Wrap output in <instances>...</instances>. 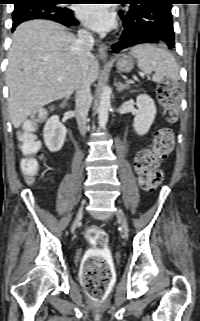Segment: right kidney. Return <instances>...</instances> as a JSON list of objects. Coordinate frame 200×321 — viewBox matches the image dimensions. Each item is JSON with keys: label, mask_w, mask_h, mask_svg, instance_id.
Here are the masks:
<instances>
[{"label": "right kidney", "mask_w": 200, "mask_h": 321, "mask_svg": "<svg viewBox=\"0 0 200 321\" xmlns=\"http://www.w3.org/2000/svg\"><path fill=\"white\" fill-rule=\"evenodd\" d=\"M66 127L60 122L57 115L50 117L43 130L45 145L51 152L59 151L66 138Z\"/></svg>", "instance_id": "ca27d5eb"}]
</instances>
